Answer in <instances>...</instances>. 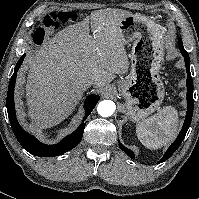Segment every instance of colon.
<instances>
[{
    "label": "colon",
    "instance_id": "5ec220e1",
    "mask_svg": "<svg viewBox=\"0 0 199 199\" xmlns=\"http://www.w3.org/2000/svg\"><path fill=\"white\" fill-rule=\"evenodd\" d=\"M73 13L69 11L50 12L47 14L36 31V37H41L47 30L55 29L62 23L71 22Z\"/></svg>",
    "mask_w": 199,
    "mask_h": 199
}]
</instances>
